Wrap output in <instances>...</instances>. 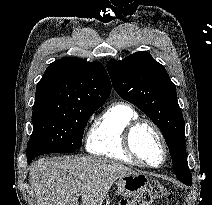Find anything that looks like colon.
<instances>
[{
    "mask_svg": "<svg viewBox=\"0 0 212 205\" xmlns=\"http://www.w3.org/2000/svg\"><path fill=\"white\" fill-rule=\"evenodd\" d=\"M171 191L159 182H151L143 188L134 198L123 199L116 205H151L159 199H168Z\"/></svg>",
    "mask_w": 212,
    "mask_h": 205,
    "instance_id": "5ec220e1",
    "label": "colon"
}]
</instances>
